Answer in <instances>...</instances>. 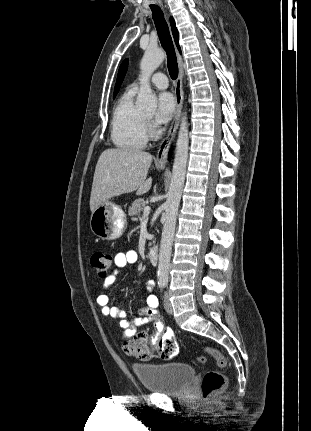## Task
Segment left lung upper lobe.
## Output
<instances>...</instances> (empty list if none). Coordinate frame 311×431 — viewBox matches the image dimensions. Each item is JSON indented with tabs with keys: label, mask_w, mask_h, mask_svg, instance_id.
<instances>
[{
	"label": "left lung upper lobe",
	"mask_w": 311,
	"mask_h": 431,
	"mask_svg": "<svg viewBox=\"0 0 311 431\" xmlns=\"http://www.w3.org/2000/svg\"><path fill=\"white\" fill-rule=\"evenodd\" d=\"M127 66H128V59H125L119 68L117 83H116L114 95H113L114 97L118 93L120 85L123 82V79H124L126 71H127Z\"/></svg>",
	"instance_id": "obj_1"
}]
</instances>
